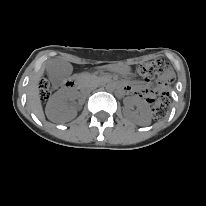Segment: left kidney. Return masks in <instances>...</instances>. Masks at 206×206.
<instances>
[{
	"instance_id": "left-kidney-1",
	"label": "left kidney",
	"mask_w": 206,
	"mask_h": 206,
	"mask_svg": "<svg viewBox=\"0 0 206 206\" xmlns=\"http://www.w3.org/2000/svg\"><path fill=\"white\" fill-rule=\"evenodd\" d=\"M136 106L138 111H132ZM124 115L128 118L134 119L137 124L141 126H148L151 124L150 107L147 102L137 97H129L125 100Z\"/></svg>"
}]
</instances>
